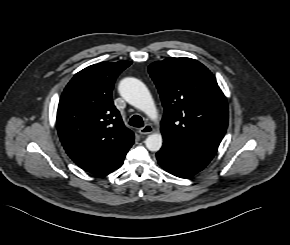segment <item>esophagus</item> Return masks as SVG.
<instances>
[{
    "instance_id": "34e87169",
    "label": "esophagus",
    "mask_w": 290,
    "mask_h": 245,
    "mask_svg": "<svg viewBox=\"0 0 290 245\" xmlns=\"http://www.w3.org/2000/svg\"><path fill=\"white\" fill-rule=\"evenodd\" d=\"M154 131V128L152 125L150 124H147L145 125L144 127L140 128L139 129V133L142 134V135H147V134H150Z\"/></svg>"
}]
</instances>
